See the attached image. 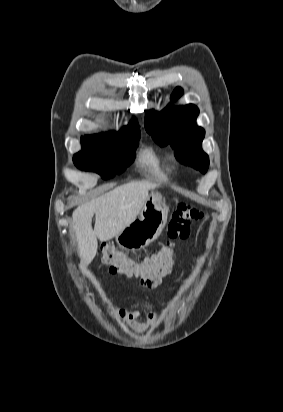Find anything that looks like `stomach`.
<instances>
[{"instance_id": "stomach-1", "label": "stomach", "mask_w": 283, "mask_h": 412, "mask_svg": "<svg viewBox=\"0 0 283 412\" xmlns=\"http://www.w3.org/2000/svg\"><path fill=\"white\" fill-rule=\"evenodd\" d=\"M169 208L160 193L148 196L138 219L115 238L122 249L138 250L155 241L166 225Z\"/></svg>"}]
</instances>
